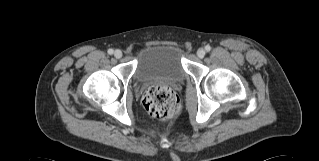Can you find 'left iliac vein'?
I'll use <instances>...</instances> for the list:
<instances>
[{"label":"left iliac vein","mask_w":319,"mask_h":161,"mask_svg":"<svg viewBox=\"0 0 319 161\" xmlns=\"http://www.w3.org/2000/svg\"><path fill=\"white\" fill-rule=\"evenodd\" d=\"M205 54H206V51H205L203 48H199V49L197 50V56H198L199 58H203V57L205 56Z\"/></svg>","instance_id":"left-iliac-vein-1"}]
</instances>
